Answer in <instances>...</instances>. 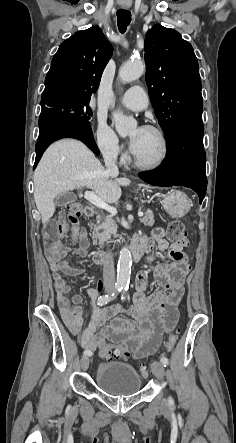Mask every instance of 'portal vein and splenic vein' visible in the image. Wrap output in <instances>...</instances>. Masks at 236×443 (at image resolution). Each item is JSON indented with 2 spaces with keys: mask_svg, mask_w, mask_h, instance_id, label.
<instances>
[{
  "mask_svg": "<svg viewBox=\"0 0 236 443\" xmlns=\"http://www.w3.org/2000/svg\"><path fill=\"white\" fill-rule=\"evenodd\" d=\"M85 198H86L91 204H93L94 206H96V207H98V208H100V209L106 210V211L109 212L111 215H116V213H117L116 208H114V207L108 205L105 201H103L101 198H99L97 195H95L94 192H92V191H88V190H87V191L85 192ZM138 216H139V217H142V216H143V213H142V212H139V213H138Z\"/></svg>",
  "mask_w": 236,
  "mask_h": 443,
  "instance_id": "obj_1",
  "label": "portal vein and splenic vein"
}]
</instances>
